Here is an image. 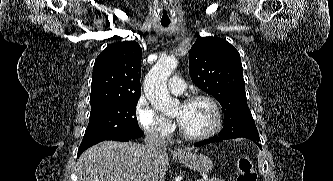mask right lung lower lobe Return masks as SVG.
Wrapping results in <instances>:
<instances>
[{"mask_svg":"<svg viewBox=\"0 0 333 181\" xmlns=\"http://www.w3.org/2000/svg\"><path fill=\"white\" fill-rule=\"evenodd\" d=\"M133 139H135V138H126V139H120V140H116V141H130V140H133ZM101 141H104V140H101ZM101 141H95V142H93V143H90V144H87V145H82V146H80L79 149H78L77 157H79L80 154H81L83 151H85L87 148H89V147H91L92 145H95V144H97V143H99V142H101Z\"/></svg>","mask_w":333,"mask_h":181,"instance_id":"obj_1","label":"right lung lower lobe"}]
</instances>
